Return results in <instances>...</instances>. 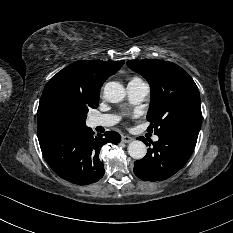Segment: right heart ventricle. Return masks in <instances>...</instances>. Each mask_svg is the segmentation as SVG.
<instances>
[{"instance_id": "1", "label": "right heart ventricle", "mask_w": 233, "mask_h": 233, "mask_svg": "<svg viewBox=\"0 0 233 233\" xmlns=\"http://www.w3.org/2000/svg\"><path fill=\"white\" fill-rule=\"evenodd\" d=\"M132 80H140L139 78H137V77H134V78H132Z\"/></svg>"}]
</instances>
